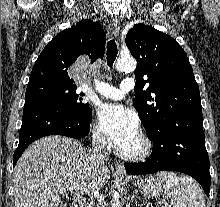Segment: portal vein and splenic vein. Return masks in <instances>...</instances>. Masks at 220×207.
Returning <instances> with one entry per match:
<instances>
[{"mask_svg": "<svg viewBox=\"0 0 220 207\" xmlns=\"http://www.w3.org/2000/svg\"><path fill=\"white\" fill-rule=\"evenodd\" d=\"M55 191L61 194L68 192V190L64 187H57ZM167 207H170V206H167Z\"/></svg>", "mask_w": 220, "mask_h": 207, "instance_id": "obj_1", "label": "portal vein and splenic vein"}]
</instances>
